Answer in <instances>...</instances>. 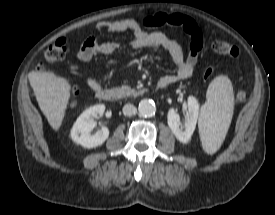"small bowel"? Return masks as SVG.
Segmentation results:
<instances>
[{"label": "small bowel", "instance_id": "small-bowel-1", "mask_svg": "<svg viewBox=\"0 0 275 215\" xmlns=\"http://www.w3.org/2000/svg\"><path fill=\"white\" fill-rule=\"evenodd\" d=\"M166 17L167 16L164 14L148 15L143 18L141 24L132 19L104 21L98 23L95 30L99 34L130 30L133 32V39L130 43L132 49L152 47L164 49L171 56L176 66V72L175 74L165 75L161 79H166L172 84L175 81L186 80L191 77L203 47V38L200 30L197 28V32L191 35L189 54L187 58H184L182 50L176 41L160 31H149L150 28L166 24ZM120 47L118 42H99L98 37L93 36L81 46L77 56L82 61H89L99 55L115 53ZM86 84L95 92L103 88V86L91 75L86 77Z\"/></svg>", "mask_w": 275, "mask_h": 215}]
</instances>
